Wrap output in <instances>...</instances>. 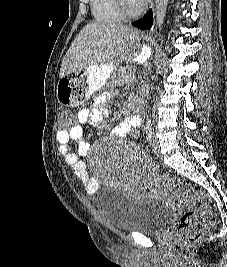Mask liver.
Here are the masks:
<instances>
[{
  "label": "liver",
  "mask_w": 227,
  "mask_h": 267,
  "mask_svg": "<svg viewBox=\"0 0 227 267\" xmlns=\"http://www.w3.org/2000/svg\"><path fill=\"white\" fill-rule=\"evenodd\" d=\"M139 35L137 29L117 23H88L74 39L61 65L60 77L80 68L119 61Z\"/></svg>",
  "instance_id": "6515ba94"
}]
</instances>
